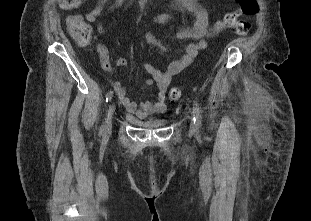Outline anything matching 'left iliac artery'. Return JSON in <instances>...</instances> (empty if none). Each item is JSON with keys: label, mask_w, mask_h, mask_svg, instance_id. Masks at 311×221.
<instances>
[{"label": "left iliac artery", "mask_w": 311, "mask_h": 221, "mask_svg": "<svg viewBox=\"0 0 311 221\" xmlns=\"http://www.w3.org/2000/svg\"><path fill=\"white\" fill-rule=\"evenodd\" d=\"M193 115H194V122L196 123L197 126H200L201 125L200 108L195 100L193 101Z\"/></svg>", "instance_id": "1"}]
</instances>
